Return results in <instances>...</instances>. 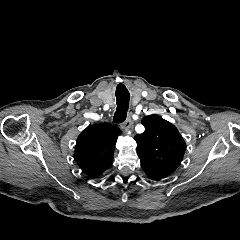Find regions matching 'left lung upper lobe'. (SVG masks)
<instances>
[{
	"instance_id": "1",
	"label": "left lung upper lobe",
	"mask_w": 240,
	"mask_h": 240,
	"mask_svg": "<svg viewBox=\"0 0 240 240\" xmlns=\"http://www.w3.org/2000/svg\"><path fill=\"white\" fill-rule=\"evenodd\" d=\"M141 123L145 131L134 137L141 166L146 174L166 178L180 165L186 144L177 128L158 115L145 116Z\"/></svg>"
}]
</instances>
